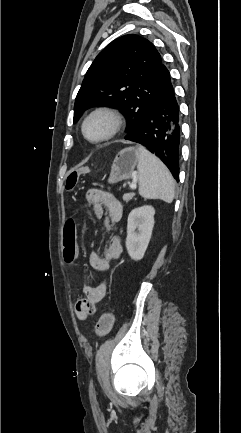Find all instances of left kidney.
<instances>
[{
  "label": "left kidney",
  "mask_w": 241,
  "mask_h": 433,
  "mask_svg": "<svg viewBox=\"0 0 241 433\" xmlns=\"http://www.w3.org/2000/svg\"><path fill=\"white\" fill-rule=\"evenodd\" d=\"M154 215L155 209L146 205L135 208L128 216L126 248L134 261L144 257L154 227Z\"/></svg>",
  "instance_id": "1"
}]
</instances>
